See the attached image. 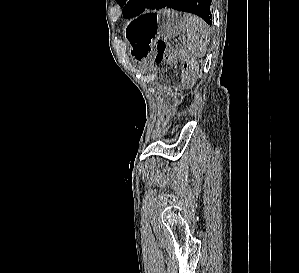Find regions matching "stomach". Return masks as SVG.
I'll return each instance as SVG.
<instances>
[{
    "label": "stomach",
    "instance_id": "stomach-1",
    "mask_svg": "<svg viewBox=\"0 0 299 273\" xmlns=\"http://www.w3.org/2000/svg\"><path fill=\"white\" fill-rule=\"evenodd\" d=\"M181 19L171 10L152 11L131 21L124 37L135 61L151 56L157 38L171 39L181 31ZM139 67H154V62H139ZM145 74H161V69H145Z\"/></svg>",
    "mask_w": 299,
    "mask_h": 273
}]
</instances>
